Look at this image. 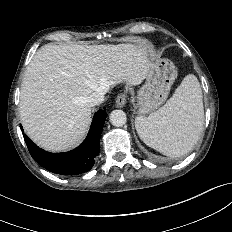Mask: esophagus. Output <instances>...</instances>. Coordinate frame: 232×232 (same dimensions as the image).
Masks as SVG:
<instances>
[{
    "label": "esophagus",
    "instance_id": "1",
    "mask_svg": "<svg viewBox=\"0 0 232 232\" xmlns=\"http://www.w3.org/2000/svg\"><path fill=\"white\" fill-rule=\"evenodd\" d=\"M127 96L125 94H119L116 97V105L117 107H123L126 104Z\"/></svg>",
    "mask_w": 232,
    "mask_h": 232
}]
</instances>
